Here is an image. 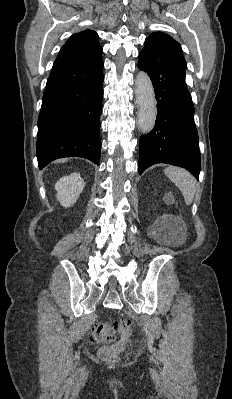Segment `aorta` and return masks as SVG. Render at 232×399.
<instances>
[{
  "label": "aorta",
  "instance_id": "obj_1",
  "mask_svg": "<svg viewBox=\"0 0 232 399\" xmlns=\"http://www.w3.org/2000/svg\"><path fill=\"white\" fill-rule=\"evenodd\" d=\"M135 86L139 106L138 128L141 132L148 133L153 129L157 115L154 88L148 74L143 71L138 73Z\"/></svg>",
  "mask_w": 232,
  "mask_h": 399
}]
</instances>
